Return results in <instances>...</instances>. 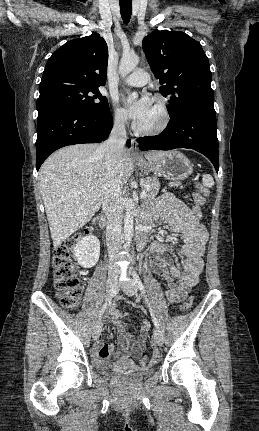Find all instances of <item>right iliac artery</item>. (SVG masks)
Wrapping results in <instances>:
<instances>
[{"mask_svg":"<svg viewBox=\"0 0 259 431\" xmlns=\"http://www.w3.org/2000/svg\"><path fill=\"white\" fill-rule=\"evenodd\" d=\"M109 302H110V299H107L106 302L103 304V306H102V308L100 310V313H99V319L102 318V316H103V314H104V312H105V310H106L107 305H108Z\"/></svg>","mask_w":259,"mask_h":431,"instance_id":"1","label":"right iliac artery"}]
</instances>
